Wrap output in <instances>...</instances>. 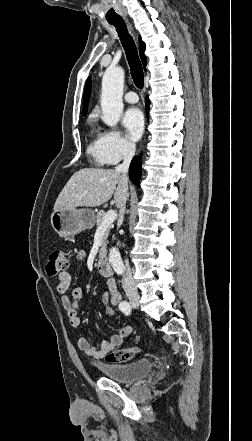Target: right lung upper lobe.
<instances>
[{
    "label": "right lung upper lobe",
    "mask_w": 252,
    "mask_h": 441,
    "mask_svg": "<svg viewBox=\"0 0 252 441\" xmlns=\"http://www.w3.org/2000/svg\"><path fill=\"white\" fill-rule=\"evenodd\" d=\"M144 51H145V43L141 40V38H139L140 57H141V61H142L143 67H144V69H146L147 59H146V56L144 55ZM90 91H91V82H90V79H89L87 81V84L85 86V91H84L83 115H85L86 112H87V107H88L89 98H90V94H91Z\"/></svg>",
    "instance_id": "cb5924a9"
}]
</instances>
